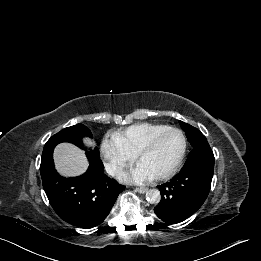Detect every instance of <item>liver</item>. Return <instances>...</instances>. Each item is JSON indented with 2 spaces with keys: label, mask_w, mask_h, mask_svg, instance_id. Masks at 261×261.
I'll use <instances>...</instances> for the list:
<instances>
[{
  "label": "liver",
  "mask_w": 261,
  "mask_h": 261,
  "mask_svg": "<svg viewBox=\"0 0 261 261\" xmlns=\"http://www.w3.org/2000/svg\"><path fill=\"white\" fill-rule=\"evenodd\" d=\"M87 146H94L95 143L84 138ZM53 159L57 171L64 176L72 177L83 174L89 165L85 153L70 143H60L53 151Z\"/></svg>",
  "instance_id": "liver-1"
}]
</instances>
